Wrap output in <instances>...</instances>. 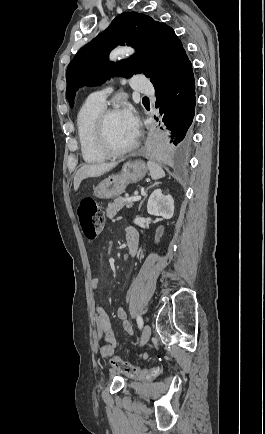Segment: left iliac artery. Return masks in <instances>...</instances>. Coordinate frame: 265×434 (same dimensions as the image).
<instances>
[{
  "label": "left iliac artery",
  "mask_w": 265,
  "mask_h": 434,
  "mask_svg": "<svg viewBox=\"0 0 265 434\" xmlns=\"http://www.w3.org/2000/svg\"><path fill=\"white\" fill-rule=\"evenodd\" d=\"M137 324L139 326L140 329H142L143 327V319L141 316H137Z\"/></svg>",
  "instance_id": "obj_1"
}]
</instances>
